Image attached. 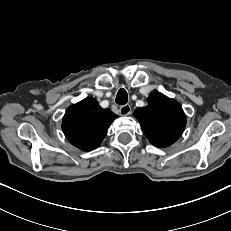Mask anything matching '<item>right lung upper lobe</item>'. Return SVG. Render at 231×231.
I'll use <instances>...</instances> for the list:
<instances>
[{
  "instance_id": "1",
  "label": "right lung upper lobe",
  "mask_w": 231,
  "mask_h": 231,
  "mask_svg": "<svg viewBox=\"0 0 231 231\" xmlns=\"http://www.w3.org/2000/svg\"><path fill=\"white\" fill-rule=\"evenodd\" d=\"M117 116L102 109L95 98H86L71 105L62 120V130L75 147L83 151L96 149Z\"/></svg>"
}]
</instances>
